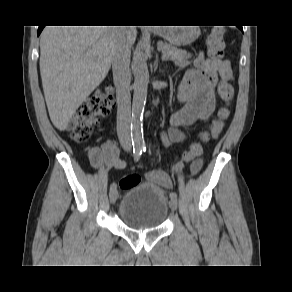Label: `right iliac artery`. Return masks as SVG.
<instances>
[{
    "mask_svg": "<svg viewBox=\"0 0 292 292\" xmlns=\"http://www.w3.org/2000/svg\"><path fill=\"white\" fill-rule=\"evenodd\" d=\"M133 153H134V160L138 161L140 156H141V154H142V150L140 148H135L133 150ZM115 189H116L115 183L111 184L110 191L115 190Z\"/></svg>",
    "mask_w": 292,
    "mask_h": 292,
    "instance_id": "right-iliac-artery-1",
    "label": "right iliac artery"
}]
</instances>
